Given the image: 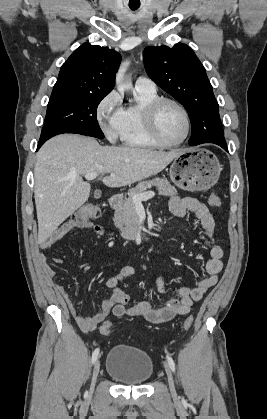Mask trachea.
I'll return each instance as SVG.
<instances>
[{
	"mask_svg": "<svg viewBox=\"0 0 267 419\" xmlns=\"http://www.w3.org/2000/svg\"><path fill=\"white\" fill-rule=\"evenodd\" d=\"M139 8V6H130L131 10H137Z\"/></svg>",
	"mask_w": 267,
	"mask_h": 419,
	"instance_id": "obj_1",
	"label": "trachea"
}]
</instances>
